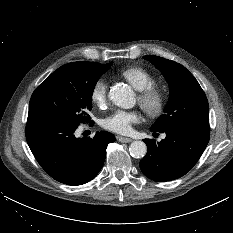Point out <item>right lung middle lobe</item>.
<instances>
[{"label": "right lung middle lobe", "instance_id": "right-lung-middle-lobe-1", "mask_svg": "<svg viewBox=\"0 0 233 233\" xmlns=\"http://www.w3.org/2000/svg\"><path fill=\"white\" fill-rule=\"evenodd\" d=\"M113 62H72L55 70L31 96L28 118H46L79 125L90 119L96 82Z\"/></svg>", "mask_w": 233, "mask_h": 233}]
</instances>
